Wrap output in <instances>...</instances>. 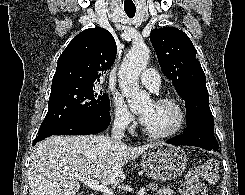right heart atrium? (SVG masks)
Segmentation results:
<instances>
[{"mask_svg":"<svg viewBox=\"0 0 245 195\" xmlns=\"http://www.w3.org/2000/svg\"><path fill=\"white\" fill-rule=\"evenodd\" d=\"M111 119L113 124L121 130H132L136 125L134 115L128 109L120 96H113L111 102Z\"/></svg>","mask_w":245,"mask_h":195,"instance_id":"obj_1","label":"right heart atrium"}]
</instances>
